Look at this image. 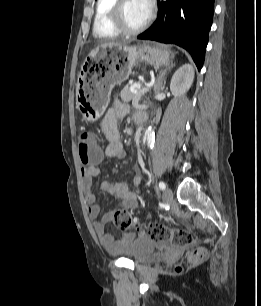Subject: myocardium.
<instances>
[{
  "label": "myocardium",
  "instance_id": "myocardium-1",
  "mask_svg": "<svg viewBox=\"0 0 261 306\" xmlns=\"http://www.w3.org/2000/svg\"><path fill=\"white\" fill-rule=\"evenodd\" d=\"M127 0H116L111 10V19L113 25L124 35H136L144 31L150 21L151 14H148L146 20L138 27H130L124 16V5Z\"/></svg>",
  "mask_w": 261,
  "mask_h": 306
}]
</instances>
